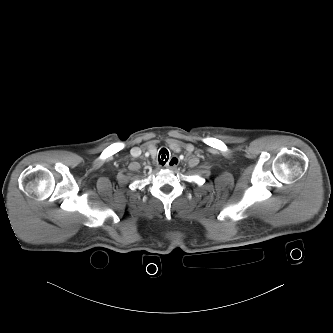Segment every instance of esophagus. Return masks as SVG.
<instances>
[{"mask_svg": "<svg viewBox=\"0 0 333 333\" xmlns=\"http://www.w3.org/2000/svg\"><path fill=\"white\" fill-rule=\"evenodd\" d=\"M179 159L176 156H172L165 164L167 169H175L178 166Z\"/></svg>", "mask_w": 333, "mask_h": 333, "instance_id": "1", "label": "esophagus"}]
</instances>
